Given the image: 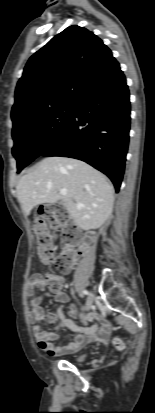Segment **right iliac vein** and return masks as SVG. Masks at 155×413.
<instances>
[{
    "label": "right iliac vein",
    "instance_id": "1",
    "mask_svg": "<svg viewBox=\"0 0 155 413\" xmlns=\"http://www.w3.org/2000/svg\"><path fill=\"white\" fill-rule=\"evenodd\" d=\"M94 300V294L92 292H89L88 297H87V302H86V308L90 309Z\"/></svg>",
    "mask_w": 155,
    "mask_h": 413
}]
</instances>
